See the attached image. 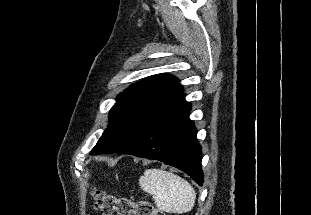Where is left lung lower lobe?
Returning a JSON list of instances; mask_svg holds the SVG:
<instances>
[{
    "label": "left lung lower lobe",
    "instance_id": "left-lung-lower-lobe-1",
    "mask_svg": "<svg viewBox=\"0 0 311 215\" xmlns=\"http://www.w3.org/2000/svg\"><path fill=\"white\" fill-rule=\"evenodd\" d=\"M191 104L184 93L156 113L139 134L119 152L155 159L174 166L202 185L201 146L189 119Z\"/></svg>",
    "mask_w": 311,
    "mask_h": 215
}]
</instances>
